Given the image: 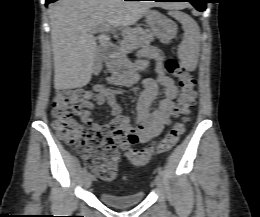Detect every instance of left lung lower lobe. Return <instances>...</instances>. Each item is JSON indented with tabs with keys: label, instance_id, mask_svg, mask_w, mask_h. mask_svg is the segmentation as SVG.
Instances as JSON below:
<instances>
[{
	"label": "left lung lower lobe",
	"instance_id": "0a47b994",
	"mask_svg": "<svg viewBox=\"0 0 260 217\" xmlns=\"http://www.w3.org/2000/svg\"><path fill=\"white\" fill-rule=\"evenodd\" d=\"M153 1H159V2H183L187 1L192 3V5L198 10V11H204L206 9V3L207 0H153Z\"/></svg>",
	"mask_w": 260,
	"mask_h": 217
}]
</instances>
